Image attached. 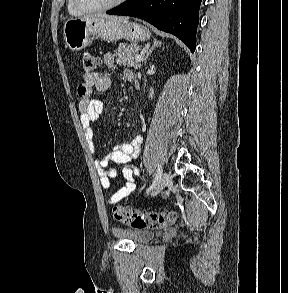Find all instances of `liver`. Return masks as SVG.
Instances as JSON below:
<instances>
[{
	"label": "liver",
	"mask_w": 288,
	"mask_h": 293,
	"mask_svg": "<svg viewBox=\"0 0 288 293\" xmlns=\"http://www.w3.org/2000/svg\"><path fill=\"white\" fill-rule=\"evenodd\" d=\"M90 17H103V18L110 19V20H114V21H118V22H123V21H127L128 20V17L108 16V15H103V14L86 16L84 18H90Z\"/></svg>",
	"instance_id": "obj_1"
}]
</instances>
